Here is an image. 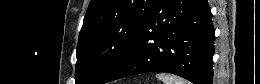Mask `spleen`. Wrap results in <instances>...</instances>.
I'll list each match as a JSON object with an SVG mask.
<instances>
[{
    "label": "spleen",
    "mask_w": 260,
    "mask_h": 84,
    "mask_svg": "<svg viewBox=\"0 0 260 84\" xmlns=\"http://www.w3.org/2000/svg\"><path fill=\"white\" fill-rule=\"evenodd\" d=\"M156 77L164 84H190L187 80L169 73H158Z\"/></svg>",
    "instance_id": "1"
}]
</instances>
